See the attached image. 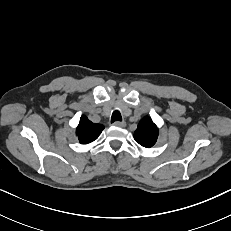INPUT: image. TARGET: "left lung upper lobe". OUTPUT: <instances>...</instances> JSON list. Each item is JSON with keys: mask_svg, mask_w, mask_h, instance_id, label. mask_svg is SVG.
I'll use <instances>...</instances> for the list:
<instances>
[{"mask_svg": "<svg viewBox=\"0 0 231 231\" xmlns=\"http://www.w3.org/2000/svg\"><path fill=\"white\" fill-rule=\"evenodd\" d=\"M158 133V128L151 118L144 117L138 124L134 133V139L141 146L150 148L156 143Z\"/></svg>", "mask_w": 231, "mask_h": 231, "instance_id": "1", "label": "left lung upper lobe"}]
</instances>
